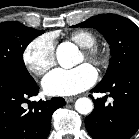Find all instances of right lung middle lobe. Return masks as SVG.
Masks as SVG:
<instances>
[{"label":"right lung middle lobe","mask_w":139,"mask_h":139,"mask_svg":"<svg viewBox=\"0 0 139 139\" xmlns=\"http://www.w3.org/2000/svg\"><path fill=\"white\" fill-rule=\"evenodd\" d=\"M43 33V30L16 21L0 23V71L23 79L32 78L25 67L23 52L34 38Z\"/></svg>","instance_id":"1"}]
</instances>
